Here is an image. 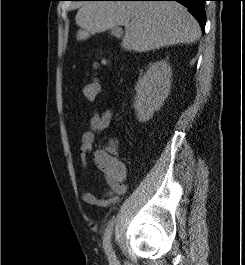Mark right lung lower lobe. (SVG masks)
Instances as JSON below:
<instances>
[{
    "mask_svg": "<svg viewBox=\"0 0 245 265\" xmlns=\"http://www.w3.org/2000/svg\"><path fill=\"white\" fill-rule=\"evenodd\" d=\"M126 1H177L190 10L192 15L199 22L201 29L204 32L205 23H206L204 2L206 0H126Z\"/></svg>",
    "mask_w": 245,
    "mask_h": 265,
    "instance_id": "obj_1",
    "label": "right lung lower lobe"
}]
</instances>
